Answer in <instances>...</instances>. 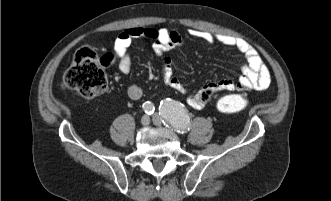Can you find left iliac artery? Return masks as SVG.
<instances>
[{"label": "left iliac artery", "mask_w": 331, "mask_h": 201, "mask_svg": "<svg viewBox=\"0 0 331 201\" xmlns=\"http://www.w3.org/2000/svg\"><path fill=\"white\" fill-rule=\"evenodd\" d=\"M159 110L167 126L182 134L189 130L191 118L183 104L167 98L161 101Z\"/></svg>", "instance_id": "left-iliac-artery-1"}]
</instances>
